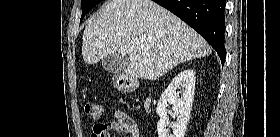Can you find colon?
Instances as JSON below:
<instances>
[{
    "mask_svg": "<svg viewBox=\"0 0 280 137\" xmlns=\"http://www.w3.org/2000/svg\"><path fill=\"white\" fill-rule=\"evenodd\" d=\"M85 111L91 118L97 120L103 116L104 106L101 102L90 101V102L86 103Z\"/></svg>",
    "mask_w": 280,
    "mask_h": 137,
    "instance_id": "obj_1",
    "label": "colon"
}]
</instances>
